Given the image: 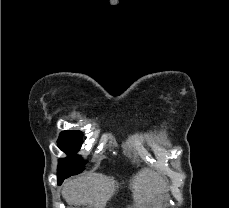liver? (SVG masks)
I'll list each match as a JSON object with an SVG mask.
<instances>
[{
  "mask_svg": "<svg viewBox=\"0 0 229 208\" xmlns=\"http://www.w3.org/2000/svg\"><path fill=\"white\" fill-rule=\"evenodd\" d=\"M134 192V200L152 202V198H161L162 194L168 192L167 182L163 180L154 170H142L135 180L131 182ZM115 192L114 180H109L103 174H88L79 176L75 180H65L62 188V196L68 204L76 206H88L95 204L96 208H105L111 196ZM143 196V198H140Z\"/></svg>",
  "mask_w": 229,
  "mask_h": 208,
  "instance_id": "obj_1",
  "label": "liver"
}]
</instances>
